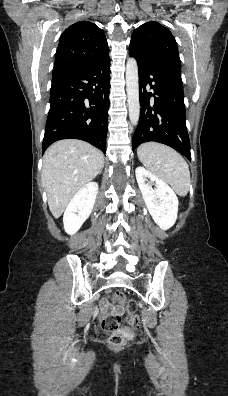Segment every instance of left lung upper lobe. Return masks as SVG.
<instances>
[{
  "label": "left lung upper lobe",
  "instance_id": "5c2ea615",
  "mask_svg": "<svg viewBox=\"0 0 228 396\" xmlns=\"http://www.w3.org/2000/svg\"><path fill=\"white\" fill-rule=\"evenodd\" d=\"M129 50L143 59L181 70L177 43L171 32L157 22L144 23L132 34Z\"/></svg>",
  "mask_w": 228,
  "mask_h": 396
}]
</instances>
